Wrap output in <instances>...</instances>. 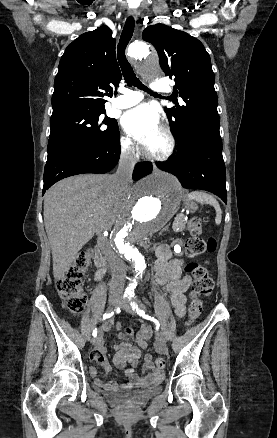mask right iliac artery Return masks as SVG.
I'll return each mask as SVG.
<instances>
[{
    "mask_svg": "<svg viewBox=\"0 0 277 438\" xmlns=\"http://www.w3.org/2000/svg\"><path fill=\"white\" fill-rule=\"evenodd\" d=\"M117 311H118V312L120 311L119 308L117 309ZM113 314H114L113 312H111V313H105V314L103 315L102 319L109 318V317H111ZM92 335H93L94 337L97 336V329H94V330H93V334H92Z\"/></svg>",
    "mask_w": 277,
    "mask_h": 438,
    "instance_id": "obj_1",
    "label": "right iliac artery"
}]
</instances>
